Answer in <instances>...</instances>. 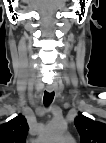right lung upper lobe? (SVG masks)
Returning <instances> with one entry per match:
<instances>
[{"label":"right lung upper lobe","instance_id":"right-lung-upper-lobe-1","mask_svg":"<svg viewBox=\"0 0 106 143\" xmlns=\"http://www.w3.org/2000/svg\"><path fill=\"white\" fill-rule=\"evenodd\" d=\"M29 126L21 114L0 125V143H25Z\"/></svg>","mask_w":106,"mask_h":143}]
</instances>
